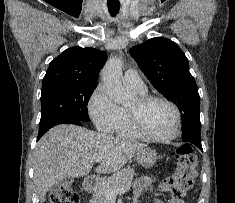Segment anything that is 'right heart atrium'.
Masks as SVG:
<instances>
[{
    "label": "right heart atrium",
    "mask_w": 235,
    "mask_h": 203,
    "mask_svg": "<svg viewBox=\"0 0 235 203\" xmlns=\"http://www.w3.org/2000/svg\"><path fill=\"white\" fill-rule=\"evenodd\" d=\"M87 109L99 131L104 133L113 131L120 117V107L113 101L102 84H99L92 92Z\"/></svg>",
    "instance_id": "d8ad5b80"
}]
</instances>
